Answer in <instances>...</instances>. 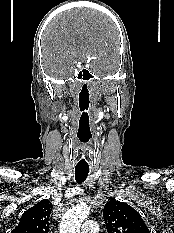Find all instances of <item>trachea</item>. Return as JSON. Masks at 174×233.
I'll list each match as a JSON object with an SVG mask.
<instances>
[{
  "mask_svg": "<svg viewBox=\"0 0 174 233\" xmlns=\"http://www.w3.org/2000/svg\"><path fill=\"white\" fill-rule=\"evenodd\" d=\"M89 173V167H75V180L77 183H83Z\"/></svg>",
  "mask_w": 174,
  "mask_h": 233,
  "instance_id": "1",
  "label": "trachea"
}]
</instances>
